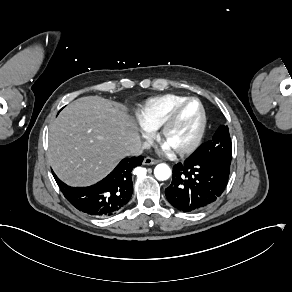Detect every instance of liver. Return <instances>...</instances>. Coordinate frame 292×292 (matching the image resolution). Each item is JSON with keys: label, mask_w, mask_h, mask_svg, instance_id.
Returning a JSON list of instances; mask_svg holds the SVG:
<instances>
[{"label": "liver", "mask_w": 292, "mask_h": 292, "mask_svg": "<svg viewBox=\"0 0 292 292\" xmlns=\"http://www.w3.org/2000/svg\"><path fill=\"white\" fill-rule=\"evenodd\" d=\"M140 146L137 124L125 108L87 96L70 103L51 121L47 158L67 185L90 186Z\"/></svg>", "instance_id": "obj_1"}]
</instances>
